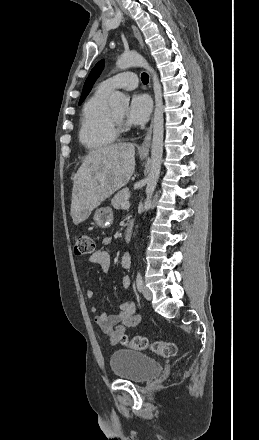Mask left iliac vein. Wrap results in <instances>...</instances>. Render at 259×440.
<instances>
[{"instance_id":"1","label":"left iliac vein","mask_w":259,"mask_h":440,"mask_svg":"<svg viewBox=\"0 0 259 440\" xmlns=\"http://www.w3.org/2000/svg\"><path fill=\"white\" fill-rule=\"evenodd\" d=\"M142 294H143L145 299H147V300H151L152 299L151 291L146 286H144V285L142 286Z\"/></svg>"}]
</instances>
